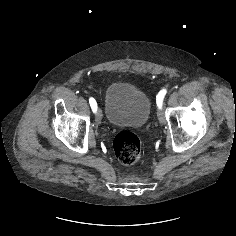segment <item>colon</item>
I'll return each mask as SVG.
<instances>
[{
    "label": "colon",
    "mask_w": 236,
    "mask_h": 236,
    "mask_svg": "<svg viewBox=\"0 0 236 236\" xmlns=\"http://www.w3.org/2000/svg\"><path fill=\"white\" fill-rule=\"evenodd\" d=\"M113 149L116 158L121 163L130 165L137 162L140 158L142 145L135 133L121 131L114 138Z\"/></svg>",
    "instance_id": "colon-1"
}]
</instances>
